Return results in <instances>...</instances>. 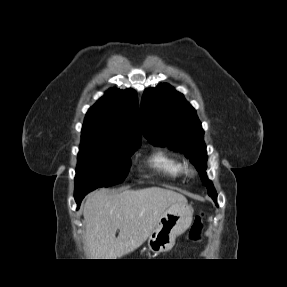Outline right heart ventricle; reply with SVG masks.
Here are the masks:
<instances>
[{"label":"right heart ventricle","instance_id":"e07e8e85","mask_svg":"<svg viewBox=\"0 0 287 287\" xmlns=\"http://www.w3.org/2000/svg\"><path fill=\"white\" fill-rule=\"evenodd\" d=\"M150 164L155 170L171 179H178L185 172L183 162L166 151L155 152L150 159Z\"/></svg>","mask_w":287,"mask_h":287}]
</instances>
